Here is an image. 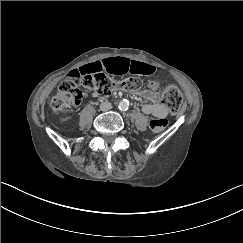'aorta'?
Here are the masks:
<instances>
[{
    "label": "aorta",
    "instance_id": "1",
    "mask_svg": "<svg viewBox=\"0 0 243 243\" xmlns=\"http://www.w3.org/2000/svg\"><path fill=\"white\" fill-rule=\"evenodd\" d=\"M119 109L120 110H127L128 109V103H127V101H121L120 103H119Z\"/></svg>",
    "mask_w": 243,
    "mask_h": 243
}]
</instances>
